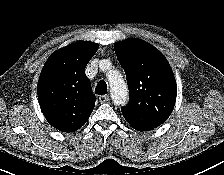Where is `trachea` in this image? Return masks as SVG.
Wrapping results in <instances>:
<instances>
[{
	"mask_svg": "<svg viewBox=\"0 0 224 175\" xmlns=\"http://www.w3.org/2000/svg\"><path fill=\"white\" fill-rule=\"evenodd\" d=\"M95 93L99 94V95H103L107 93V84L105 81H99L96 89H95Z\"/></svg>",
	"mask_w": 224,
	"mask_h": 175,
	"instance_id": "3493384b",
	"label": "trachea"
}]
</instances>
